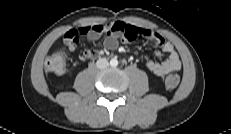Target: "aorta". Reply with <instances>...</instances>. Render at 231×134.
Masks as SVG:
<instances>
[{
  "label": "aorta",
  "mask_w": 231,
  "mask_h": 134,
  "mask_svg": "<svg viewBox=\"0 0 231 134\" xmlns=\"http://www.w3.org/2000/svg\"><path fill=\"white\" fill-rule=\"evenodd\" d=\"M110 65L113 66V67L117 66L118 65L117 59H111L110 60Z\"/></svg>",
  "instance_id": "1"
}]
</instances>
